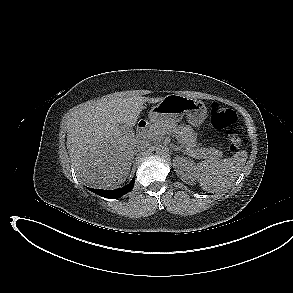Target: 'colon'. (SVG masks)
Masks as SVG:
<instances>
[{
  "instance_id": "5ec220e1",
  "label": "colon",
  "mask_w": 293,
  "mask_h": 293,
  "mask_svg": "<svg viewBox=\"0 0 293 293\" xmlns=\"http://www.w3.org/2000/svg\"><path fill=\"white\" fill-rule=\"evenodd\" d=\"M237 120L236 113L228 108L222 107L218 103L211 105V123L218 130L227 129V144L230 151L234 152L241 148L242 140L240 136L228 128L235 124Z\"/></svg>"
}]
</instances>
